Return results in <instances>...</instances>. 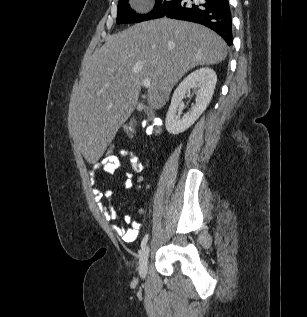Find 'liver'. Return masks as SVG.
Masks as SVG:
<instances>
[{
    "instance_id": "6515ba94",
    "label": "liver",
    "mask_w": 307,
    "mask_h": 317,
    "mask_svg": "<svg viewBox=\"0 0 307 317\" xmlns=\"http://www.w3.org/2000/svg\"><path fill=\"white\" fill-rule=\"evenodd\" d=\"M226 42L199 24L162 18L108 36L87 64L69 115L75 141L95 163L134 111L143 81L148 104L161 108L174 85L196 66L223 61Z\"/></svg>"
}]
</instances>
